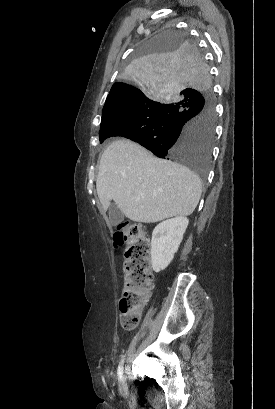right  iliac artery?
Instances as JSON below:
<instances>
[{
  "label": "right iliac artery",
  "instance_id": "right-iliac-artery-1",
  "mask_svg": "<svg viewBox=\"0 0 275 409\" xmlns=\"http://www.w3.org/2000/svg\"><path fill=\"white\" fill-rule=\"evenodd\" d=\"M124 360H125V356H123V358L121 359L119 365H118V370H117V374L119 376V378L121 379L122 374H123V364H124Z\"/></svg>",
  "mask_w": 275,
  "mask_h": 409
}]
</instances>
